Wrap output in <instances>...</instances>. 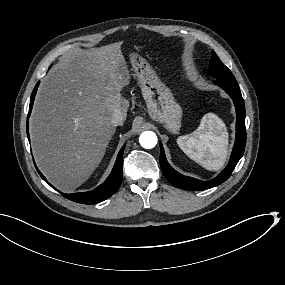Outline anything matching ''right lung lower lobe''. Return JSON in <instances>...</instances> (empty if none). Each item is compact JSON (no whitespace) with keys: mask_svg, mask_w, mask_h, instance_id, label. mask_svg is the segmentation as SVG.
<instances>
[{"mask_svg":"<svg viewBox=\"0 0 285 285\" xmlns=\"http://www.w3.org/2000/svg\"><path fill=\"white\" fill-rule=\"evenodd\" d=\"M38 82L32 92L31 99H30V106H29V113L28 117L30 116L34 98L37 92V88L39 86ZM27 129H28V122H27ZM27 136L29 139V133L27 131ZM125 145L120 150L115 165L113 167V170L109 177L105 180L104 183H102L100 186H98L96 189L88 192H80V193H71V194H65L61 193L65 198L72 200L74 202L82 203V204H96L103 200H106L110 196H112L120 187L123 177V170H122V159H123V152H124ZM38 173L43 178L44 181L47 182L46 178L41 174V172L36 167ZM48 183V182H47ZM51 187H53L50 183H48ZM54 188V187H53ZM55 189V188H54Z\"/></svg>","mask_w":285,"mask_h":285,"instance_id":"1","label":"right lung lower lobe"}]
</instances>
